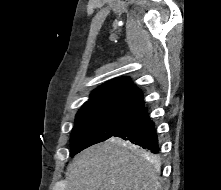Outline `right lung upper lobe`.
Listing matches in <instances>:
<instances>
[{
  "instance_id": "1",
  "label": "right lung upper lobe",
  "mask_w": 221,
  "mask_h": 190,
  "mask_svg": "<svg viewBox=\"0 0 221 190\" xmlns=\"http://www.w3.org/2000/svg\"><path fill=\"white\" fill-rule=\"evenodd\" d=\"M85 105H116L139 110L144 106L143 93L129 77H120L96 88Z\"/></svg>"
}]
</instances>
